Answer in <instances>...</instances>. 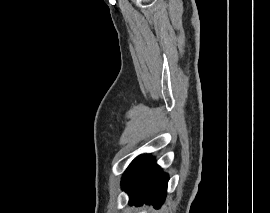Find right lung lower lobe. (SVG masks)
Here are the masks:
<instances>
[{"label":"right lung lower lobe","mask_w":270,"mask_h":213,"mask_svg":"<svg viewBox=\"0 0 270 213\" xmlns=\"http://www.w3.org/2000/svg\"><path fill=\"white\" fill-rule=\"evenodd\" d=\"M168 175L155 164L149 155L137 157L125 171L122 187L130 197V204L153 203L162 205L167 191Z\"/></svg>","instance_id":"obj_1"}]
</instances>
